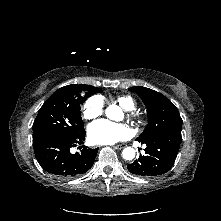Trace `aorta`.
<instances>
[{
  "label": "aorta",
  "mask_w": 221,
  "mask_h": 221,
  "mask_svg": "<svg viewBox=\"0 0 221 221\" xmlns=\"http://www.w3.org/2000/svg\"><path fill=\"white\" fill-rule=\"evenodd\" d=\"M111 109H112V106L107 108L106 110L107 114L111 111ZM122 155L125 160H132L135 157V150L132 147H126L124 148Z\"/></svg>",
  "instance_id": "obj_1"
}]
</instances>
